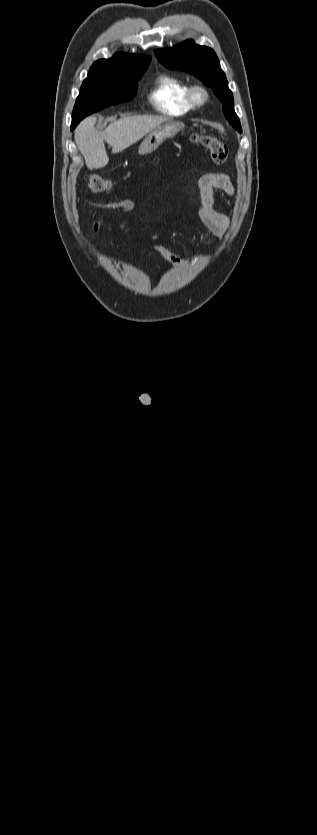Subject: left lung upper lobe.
Instances as JSON below:
<instances>
[{
	"label": "left lung upper lobe",
	"mask_w": 317,
	"mask_h": 835,
	"mask_svg": "<svg viewBox=\"0 0 317 835\" xmlns=\"http://www.w3.org/2000/svg\"><path fill=\"white\" fill-rule=\"evenodd\" d=\"M155 55L166 67L193 74L213 88V92L223 103L226 119L238 132H242L239 118L234 111L232 92L228 88L217 55L211 48L196 45L193 41H185L170 49L157 50Z\"/></svg>",
	"instance_id": "1"
}]
</instances>
